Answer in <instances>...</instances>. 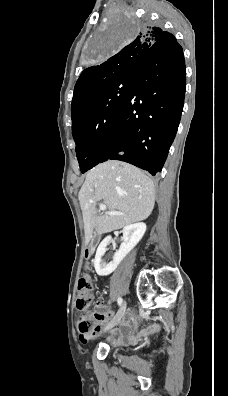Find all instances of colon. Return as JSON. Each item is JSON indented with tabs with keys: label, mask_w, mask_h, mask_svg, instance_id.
Listing matches in <instances>:
<instances>
[{
	"label": "colon",
	"mask_w": 228,
	"mask_h": 396,
	"mask_svg": "<svg viewBox=\"0 0 228 396\" xmlns=\"http://www.w3.org/2000/svg\"><path fill=\"white\" fill-rule=\"evenodd\" d=\"M93 290L94 285L91 278L88 275H83L78 281L76 301L77 308L82 312L78 320L79 331L82 334L91 332L97 320V312L92 307ZM100 305L97 303L95 308H99Z\"/></svg>",
	"instance_id": "1"
}]
</instances>
